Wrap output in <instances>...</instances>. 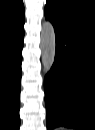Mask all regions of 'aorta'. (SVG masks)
Returning a JSON list of instances; mask_svg holds the SVG:
<instances>
[{
    "mask_svg": "<svg viewBox=\"0 0 95 130\" xmlns=\"http://www.w3.org/2000/svg\"><path fill=\"white\" fill-rule=\"evenodd\" d=\"M41 61L45 72L50 71L55 61L56 40L51 22L44 21L41 30Z\"/></svg>",
    "mask_w": 95,
    "mask_h": 130,
    "instance_id": "aorta-1",
    "label": "aorta"
}]
</instances>
